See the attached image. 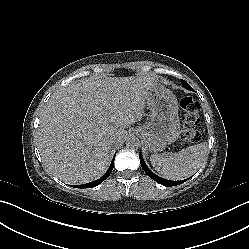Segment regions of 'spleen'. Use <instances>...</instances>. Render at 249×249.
Wrapping results in <instances>:
<instances>
[{
  "label": "spleen",
  "mask_w": 249,
  "mask_h": 249,
  "mask_svg": "<svg viewBox=\"0 0 249 249\" xmlns=\"http://www.w3.org/2000/svg\"><path fill=\"white\" fill-rule=\"evenodd\" d=\"M207 151V143L203 142L175 153H154L150 161L155 171L162 177L179 180L197 170L206 161Z\"/></svg>",
  "instance_id": "spleen-1"
}]
</instances>
